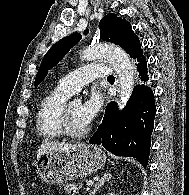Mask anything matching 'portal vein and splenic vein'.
<instances>
[{
    "label": "portal vein and splenic vein",
    "instance_id": "1",
    "mask_svg": "<svg viewBox=\"0 0 189 195\" xmlns=\"http://www.w3.org/2000/svg\"><path fill=\"white\" fill-rule=\"evenodd\" d=\"M93 183H94V182L90 180V181L87 182V186H92Z\"/></svg>",
    "mask_w": 189,
    "mask_h": 195
}]
</instances>
